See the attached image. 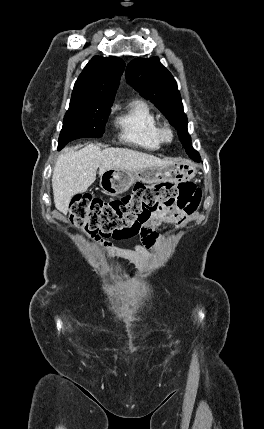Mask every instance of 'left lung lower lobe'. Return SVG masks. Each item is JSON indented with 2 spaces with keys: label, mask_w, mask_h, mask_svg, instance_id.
Here are the masks:
<instances>
[{
  "label": "left lung lower lobe",
  "mask_w": 264,
  "mask_h": 429,
  "mask_svg": "<svg viewBox=\"0 0 264 429\" xmlns=\"http://www.w3.org/2000/svg\"><path fill=\"white\" fill-rule=\"evenodd\" d=\"M192 159H194V160H199L200 159V156H199V154L197 153V152H195L194 154H191V155H189Z\"/></svg>",
  "instance_id": "1"
}]
</instances>
